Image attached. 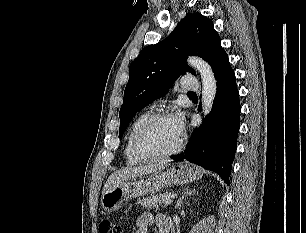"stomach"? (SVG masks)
<instances>
[{"label":"stomach","mask_w":306,"mask_h":233,"mask_svg":"<svg viewBox=\"0 0 306 233\" xmlns=\"http://www.w3.org/2000/svg\"><path fill=\"white\" fill-rule=\"evenodd\" d=\"M202 172L197 167L177 164L164 172H155L139 179L120 181L110 186L101 198L105 211L113 212L120 208L124 201L144 194L159 192L170 185H183L198 180Z\"/></svg>","instance_id":"stomach-1"}]
</instances>
